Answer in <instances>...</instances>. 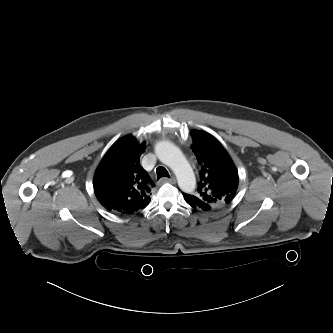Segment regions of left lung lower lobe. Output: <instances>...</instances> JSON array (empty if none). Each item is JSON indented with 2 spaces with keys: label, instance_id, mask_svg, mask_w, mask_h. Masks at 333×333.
Returning <instances> with one entry per match:
<instances>
[{
  "label": "left lung lower lobe",
  "instance_id": "0a47b994",
  "mask_svg": "<svg viewBox=\"0 0 333 333\" xmlns=\"http://www.w3.org/2000/svg\"><path fill=\"white\" fill-rule=\"evenodd\" d=\"M183 196L185 198V201L193 208L201 209V210H205V211L212 209L210 207V205L205 202L199 201L194 198H190V197L186 196L185 194H183Z\"/></svg>",
  "mask_w": 333,
  "mask_h": 333
}]
</instances>
